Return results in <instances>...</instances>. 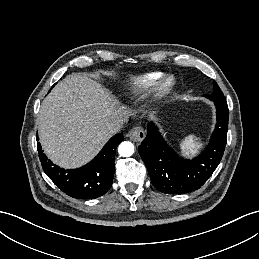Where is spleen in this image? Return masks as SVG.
<instances>
[{
  "label": "spleen",
  "instance_id": "3e777b00",
  "mask_svg": "<svg viewBox=\"0 0 259 259\" xmlns=\"http://www.w3.org/2000/svg\"><path fill=\"white\" fill-rule=\"evenodd\" d=\"M195 135L191 134L185 137L180 143L181 153L187 156H193L198 152L201 147V143L196 141Z\"/></svg>",
  "mask_w": 259,
  "mask_h": 259
}]
</instances>
